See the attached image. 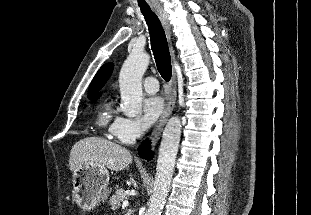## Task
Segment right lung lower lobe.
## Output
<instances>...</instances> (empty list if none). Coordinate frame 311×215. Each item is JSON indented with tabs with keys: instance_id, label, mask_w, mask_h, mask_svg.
<instances>
[{
	"instance_id": "obj_1",
	"label": "right lung lower lobe",
	"mask_w": 311,
	"mask_h": 215,
	"mask_svg": "<svg viewBox=\"0 0 311 215\" xmlns=\"http://www.w3.org/2000/svg\"><path fill=\"white\" fill-rule=\"evenodd\" d=\"M149 145L150 141L145 140L144 142H142V145L138 147V153L141 158L150 160L153 157L151 151L149 150Z\"/></svg>"
}]
</instances>
